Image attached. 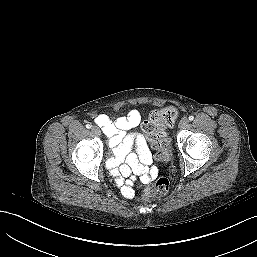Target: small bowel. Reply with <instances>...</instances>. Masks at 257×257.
Here are the masks:
<instances>
[{"label": "small bowel", "instance_id": "obj_1", "mask_svg": "<svg viewBox=\"0 0 257 257\" xmlns=\"http://www.w3.org/2000/svg\"><path fill=\"white\" fill-rule=\"evenodd\" d=\"M141 115L137 110H131L126 116L114 120L107 115L99 114L95 117L96 124L109 137V144L113 149V157L108 161V167L122 186L125 196L132 197L134 191L125 185V179L135 173L142 182H148L156 174L151 165V155L143 137L140 134H126V130L140 122ZM135 142L137 154L127 157L130 144Z\"/></svg>", "mask_w": 257, "mask_h": 257}]
</instances>
